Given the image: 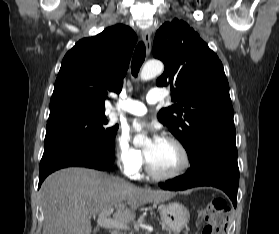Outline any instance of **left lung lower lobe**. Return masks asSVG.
Listing matches in <instances>:
<instances>
[{"instance_id": "left-lung-lower-lobe-1", "label": "left lung lower lobe", "mask_w": 279, "mask_h": 234, "mask_svg": "<svg viewBox=\"0 0 279 234\" xmlns=\"http://www.w3.org/2000/svg\"><path fill=\"white\" fill-rule=\"evenodd\" d=\"M190 165L191 168L186 174L159 185L174 191L214 186L222 189L236 207L239 169L235 139H220L207 143Z\"/></svg>"}]
</instances>
